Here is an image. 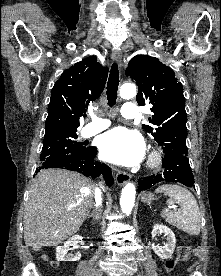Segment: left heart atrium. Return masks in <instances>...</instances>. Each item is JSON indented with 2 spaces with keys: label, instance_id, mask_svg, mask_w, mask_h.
<instances>
[{
  "label": "left heart atrium",
  "instance_id": "39dd6f15",
  "mask_svg": "<svg viewBox=\"0 0 221 276\" xmlns=\"http://www.w3.org/2000/svg\"><path fill=\"white\" fill-rule=\"evenodd\" d=\"M99 148L104 160L123 166L138 164L145 153L141 135L124 127H117L105 133L100 138Z\"/></svg>",
  "mask_w": 221,
  "mask_h": 276
}]
</instances>
